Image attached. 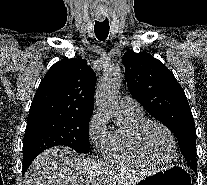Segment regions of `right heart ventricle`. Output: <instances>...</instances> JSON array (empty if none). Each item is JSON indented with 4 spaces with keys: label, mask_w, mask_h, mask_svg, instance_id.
Returning a JSON list of instances; mask_svg holds the SVG:
<instances>
[{
    "label": "right heart ventricle",
    "mask_w": 207,
    "mask_h": 185,
    "mask_svg": "<svg viewBox=\"0 0 207 185\" xmlns=\"http://www.w3.org/2000/svg\"><path fill=\"white\" fill-rule=\"evenodd\" d=\"M124 122L114 131L108 133L102 140L103 156L115 163L122 165H150L148 159L139 149L135 131L145 118L142 113L125 112Z\"/></svg>",
    "instance_id": "right-heart-ventricle-1"
}]
</instances>
